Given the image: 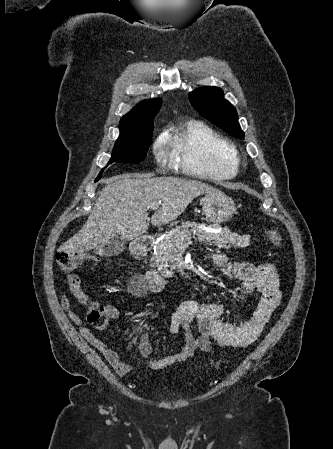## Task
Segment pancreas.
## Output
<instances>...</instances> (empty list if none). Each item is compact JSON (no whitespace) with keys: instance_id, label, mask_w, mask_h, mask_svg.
<instances>
[{"instance_id":"1","label":"pancreas","mask_w":333,"mask_h":449,"mask_svg":"<svg viewBox=\"0 0 333 449\" xmlns=\"http://www.w3.org/2000/svg\"><path fill=\"white\" fill-rule=\"evenodd\" d=\"M191 231H195L197 239L207 245H216L219 248H239L249 245L246 235H238L228 228H223L220 233H210L203 230L195 222H183L181 226L173 228L157 245L154 253L155 265L162 276L170 277L176 268L175 261L181 245L189 244Z\"/></svg>"}]
</instances>
